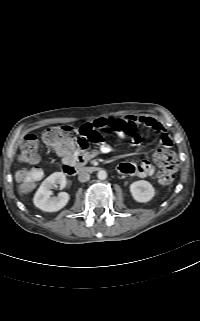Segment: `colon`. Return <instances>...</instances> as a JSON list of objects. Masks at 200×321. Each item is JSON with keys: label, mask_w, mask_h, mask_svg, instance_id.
Returning a JSON list of instances; mask_svg holds the SVG:
<instances>
[{"label": "colon", "mask_w": 200, "mask_h": 321, "mask_svg": "<svg viewBox=\"0 0 200 321\" xmlns=\"http://www.w3.org/2000/svg\"><path fill=\"white\" fill-rule=\"evenodd\" d=\"M43 140L58 151H68L74 143L84 150L91 143L102 142L103 136L98 130L86 126L75 128L59 125L48 128L43 134ZM38 146V139L35 135H26L20 147V159L29 164H36L39 161ZM155 160L159 166L156 175L157 182L161 185L170 184L178 168L175 154L171 150H166L160 153ZM41 176L42 171L38 167L22 168L17 173V179L24 190H31Z\"/></svg>", "instance_id": "colon-1"}]
</instances>
